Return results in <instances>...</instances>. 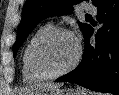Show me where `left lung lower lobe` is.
I'll list each match as a JSON object with an SVG mask.
<instances>
[{
  "mask_svg": "<svg viewBox=\"0 0 119 95\" xmlns=\"http://www.w3.org/2000/svg\"><path fill=\"white\" fill-rule=\"evenodd\" d=\"M100 25L96 43L90 44L94 29L84 32L83 59L72 72L55 82H70L97 92L119 95V0H103L97 6Z\"/></svg>",
  "mask_w": 119,
  "mask_h": 95,
  "instance_id": "0a47b994",
  "label": "left lung lower lobe"
}]
</instances>
